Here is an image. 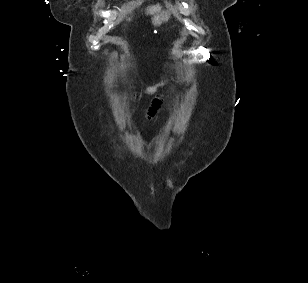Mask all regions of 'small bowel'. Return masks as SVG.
I'll use <instances>...</instances> for the list:
<instances>
[{
    "label": "small bowel",
    "instance_id": "small-bowel-1",
    "mask_svg": "<svg viewBox=\"0 0 308 283\" xmlns=\"http://www.w3.org/2000/svg\"><path fill=\"white\" fill-rule=\"evenodd\" d=\"M130 87L133 89V98L138 100L140 99L143 95H150V96H156L153 101L151 106L148 109L147 112V117L153 118L156 114V112L158 111L160 104H161V100L160 97L158 95L160 88L162 87L161 83L158 84H154L151 86H147L144 89H136L134 86L130 85Z\"/></svg>",
    "mask_w": 308,
    "mask_h": 283
}]
</instances>
